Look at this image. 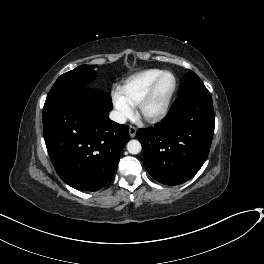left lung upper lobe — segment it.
<instances>
[{
	"label": "left lung upper lobe",
	"mask_w": 264,
	"mask_h": 264,
	"mask_svg": "<svg viewBox=\"0 0 264 264\" xmlns=\"http://www.w3.org/2000/svg\"><path fill=\"white\" fill-rule=\"evenodd\" d=\"M207 89L202 80L191 70L188 71L184 83L180 85L178 96L193 90Z\"/></svg>",
	"instance_id": "5c2ea615"
}]
</instances>
